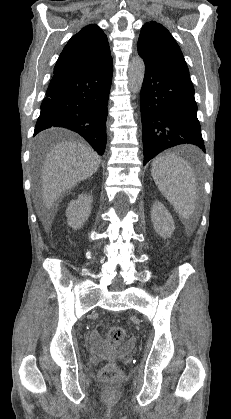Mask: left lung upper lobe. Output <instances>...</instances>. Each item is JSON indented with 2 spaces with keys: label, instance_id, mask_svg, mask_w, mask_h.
I'll return each instance as SVG.
<instances>
[{
  "label": "left lung upper lobe",
  "instance_id": "obj_1",
  "mask_svg": "<svg viewBox=\"0 0 231 419\" xmlns=\"http://www.w3.org/2000/svg\"><path fill=\"white\" fill-rule=\"evenodd\" d=\"M137 47L145 65L189 74L180 47L163 25L155 21L145 23Z\"/></svg>",
  "mask_w": 231,
  "mask_h": 419
}]
</instances>
